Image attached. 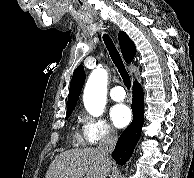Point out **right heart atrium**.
<instances>
[{"label":"right heart atrium","mask_w":194,"mask_h":178,"mask_svg":"<svg viewBox=\"0 0 194 178\" xmlns=\"http://www.w3.org/2000/svg\"><path fill=\"white\" fill-rule=\"evenodd\" d=\"M81 127L77 134V143L82 146H93L101 142L116 139L114 129L102 118L86 113L80 115Z\"/></svg>","instance_id":"obj_1"}]
</instances>
